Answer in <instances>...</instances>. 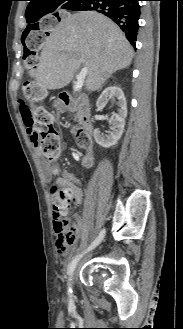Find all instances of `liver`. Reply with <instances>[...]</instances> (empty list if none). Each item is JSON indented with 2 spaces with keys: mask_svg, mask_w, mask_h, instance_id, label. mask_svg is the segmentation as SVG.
I'll return each mask as SVG.
<instances>
[{
  "mask_svg": "<svg viewBox=\"0 0 183 329\" xmlns=\"http://www.w3.org/2000/svg\"><path fill=\"white\" fill-rule=\"evenodd\" d=\"M132 58L133 48L115 23L95 11H82L68 15L47 38L36 80L45 89H60L86 67L85 86L96 91L114 72L127 68Z\"/></svg>",
  "mask_w": 183,
  "mask_h": 329,
  "instance_id": "1",
  "label": "liver"
}]
</instances>
